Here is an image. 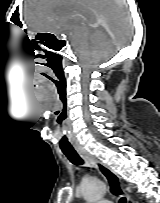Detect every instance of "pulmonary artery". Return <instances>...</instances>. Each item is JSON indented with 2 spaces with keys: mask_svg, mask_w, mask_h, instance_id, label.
I'll list each match as a JSON object with an SVG mask.
<instances>
[{
  "mask_svg": "<svg viewBox=\"0 0 160 203\" xmlns=\"http://www.w3.org/2000/svg\"><path fill=\"white\" fill-rule=\"evenodd\" d=\"M97 203H112L110 201H101V202H97Z\"/></svg>",
  "mask_w": 160,
  "mask_h": 203,
  "instance_id": "pulmonary-artery-1",
  "label": "pulmonary artery"
}]
</instances>
